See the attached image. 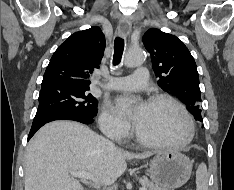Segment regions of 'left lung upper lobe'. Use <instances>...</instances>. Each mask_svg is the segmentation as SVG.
<instances>
[{"mask_svg":"<svg viewBox=\"0 0 234 190\" xmlns=\"http://www.w3.org/2000/svg\"><path fill=\"white\" fill-rule=\"evenodd\" d=\"M142 42L151 55L159 86L178 97L195 120L202 122L199 76L188 48L176 36L156 28L149 29Z\"/></svg>","mask_w":234,"mask_h":190,"instance_id":"obj_1","label":"left lung upper lobe"}]
</instances>
